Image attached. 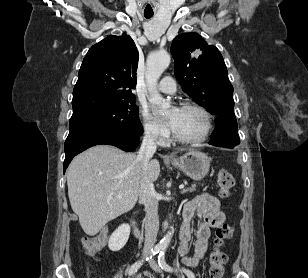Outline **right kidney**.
<instances>
[{
    "label": "right kidney",
    "instance_id": "right-kidney-1",
    "mask_svg": "<svg viewBox=\"0 0 308 278\" xmlns=\"http://www.w3.org/2000/svg\"><path fill=\"white\" fill-rule=\"evenodd\" d=\"M130 235L129 224L120 225L110 236L108 247L111 251H119L128 241Z\"/></svg>",
    "mask_w": 308,
    "mask_h": 278
}]
</instances>
